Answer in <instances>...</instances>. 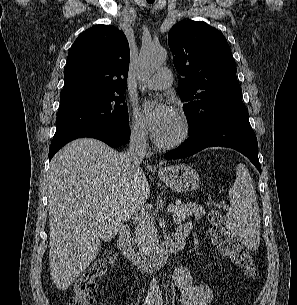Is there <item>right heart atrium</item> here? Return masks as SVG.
<instances>
[{
  "label": "right heart atrium",
  "instance_id": "d8ad5b80",
  "mask_svg": "<svg viewBox=\"0 0 297 305\" xmlns=\"http://www.w3.org/2000/svg\"><path fill=\"white\" fill-rule=\"evenodd\" d=\"M128 133L130 139L137 144H143L147 139L144 124L136 111H131L128 121Z\"/></svg>",
  "mask_w": 297,
  "mask_h": 305
}]
</instances>
